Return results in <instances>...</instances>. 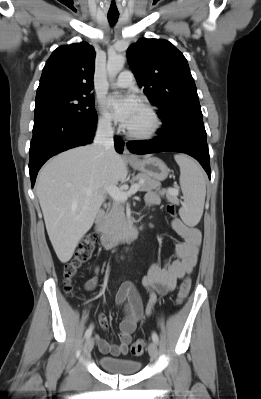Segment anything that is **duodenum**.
Instances as JSON below:
<instances>
[{
  "instance_id": "410a0bca",
  "label": "duodenum",
  "mask_w": 261,
  "mask_h": 399,
  "mask_svg": "<svg viewBox=\"0 0 261 399\" xmlns=\"http://www.w3.org/2000/svg\"><path fill=\"white\" fill-rule=\"evenodd\" d=\"M95 231L99 236L100 245L107 249L119 242L134 240L139 232V220L134 219L121 231L112 233L105 228V216L103 211L99 210L96 215Z\"/></svg>"
}]
</instances>
